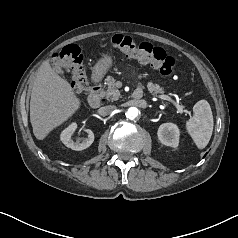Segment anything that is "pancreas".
Wrapping results in <instances>:
<instances>
[{"mask_svg": "<svg viewBox=\"0 0 238 238\" xmlns=\"http://www.w3.org/2000/svg\"><path fill=\"white\" fill-rule=\"evenodd\" d=\"M105 81L107 90L104 92V95L111 100H118L121 97V94L120 91L116 88L115 79L113 77H107ZM147 88L152 94L164 93V90L158 84H154L152 82H148Z\"/></svg>", "mask_w": 238, "mask_h": 238, "instance_id": "cf45deb5", "label": "pancreas"}]
</instances>
